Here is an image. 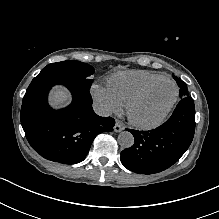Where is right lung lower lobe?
Masks as SVG:
<instances>
[{
  "label": "right lung lower lobe",
  "instance_id": "1",
  "mask_svg": "<svg viewBox=\"0 0 219 219\" xmlns=\"http://www.w3.org/2000/svg\"><path fill=\"white\" fill-rule=\"evenodd\" d=\"M56 84L72 93V103L61 110L52 109L47 95ZM89 89L73 79L58 76H36L22 102L21 124L30 145L44 158L64 164L85 159L94 138L113 130L115 120L100 117L92 108Z\"/></svg>",
  "mask_w": 219,
  "mask_h": 219
}]
</instances>
